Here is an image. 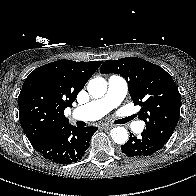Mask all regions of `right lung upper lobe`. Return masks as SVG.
Here are the masks:
<instances>
[{
  "label": "right lung upper lobe",
  "mask_w": 196,
  "mask_h": 196,
  "mask_svg": "<svg viewBox=\"0 0 196 196\" xmlns=\"http://www.w3.org/2000/svg\"><path fill=\"white\" fill-rule=\"evenodd\" d=\"M101 61L58 60L35 69L19 95V119L33 147L67 127L64 110L76 99Z\"/></svg>",
  "instance_id": "obj_1"
}]
</instances>
